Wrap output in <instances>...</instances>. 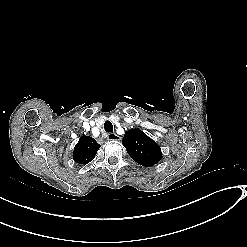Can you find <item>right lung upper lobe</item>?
I'll return each instance as SVG.
<instances>
[{"label":"right lung upper lobe","instance_id":"obj_1","mask_svg":"<svg viewBox=\"0 0 247 247\" xmlns=\"http://www.w3.org/2000/svg\"><path fill=\"white\" fill-rule=\"evenodd\" d=\"M100 145L89 136H82L74 147V161L79 164H87L93 160Z\"/></svg>","mask_w":247,"mask_h":247}]
</instances>
